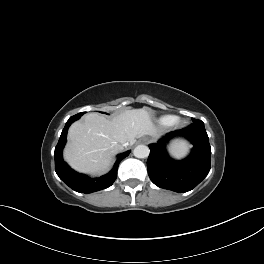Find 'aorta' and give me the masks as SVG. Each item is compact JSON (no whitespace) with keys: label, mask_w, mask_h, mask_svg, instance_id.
Wrapping results in <instances>:
<instances>
[{"label":"aorta","mask_w":264,"mask_h":264,"mask_svg":"<svg viewBox=\"0 0 264 264\" xmlns=\"http://www.w3.org/2000/svg\"><path fill=\"white\" fill-rule=\"evenodd\" d=\"M150 150L146 145H138L133 150V154L137 158H146L149 156Z\"/></svg>","instance_id":"762f6f07"}]
</instances>
